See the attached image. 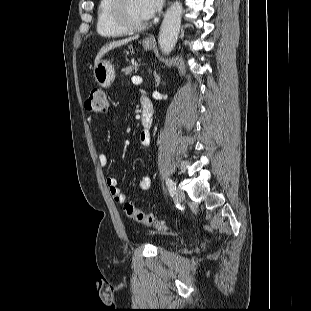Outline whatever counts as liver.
I'll return each mask as SVG.
<instances>
[{
	"mask_svg": "<svg viewBox=\"0 0 311 311\" xmlns=\"http://www.w3.org/2000/svg\"><path fill=\"white\" fill-rule=\"evenodd\" d=\"M139 36H134V37H129V38H126V39H122V40H119V41H115V42H112V43H109L108 45H105L103 46L100 51L98 52L96 58H95V65L98 63V61L101 60V58L110 50L116 48V47H119L121 45H124V44H127L133 40H136L138 39Z\"/></svg>",
	"mask_w": 311,
	"mask_h": 311,
	"instance_id": "liver-1",
	"label": "liver"
}]
</instances>
